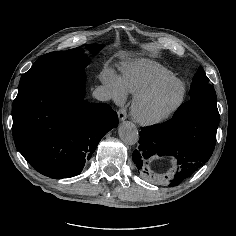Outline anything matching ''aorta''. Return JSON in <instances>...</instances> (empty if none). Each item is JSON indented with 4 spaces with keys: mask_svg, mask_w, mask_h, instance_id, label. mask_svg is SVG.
I'll use <instances>...</instances> for the list:
<instances>
[{
    "mask_svg": "<svg viewBox=\"0 0 236 236\" xmlns=\"http://www.w3.org/2000/svg\"><path fill=\"white\" fill-rule=\"evenodd\" d=\"M118 134L126 145H135L139 140L138 129L130 121H124L120 124Z\"/></svg>",
    "mask_w": 236,
    "mask_h": 236,
    "instance_id": "aorta-1",
    "label": "aorta"
}]
</instances>
